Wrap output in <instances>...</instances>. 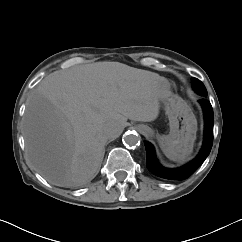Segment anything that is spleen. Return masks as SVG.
Here are the masks:
<instances>
[{"label": "spleen", "mask_w": 242, "mask_h": 242, "mask_svg": "<svg viewBox=\"0 0 242 242\" xmlns=\"http://www.w3.org/2000/svg\"><path fill=\"white\" fill-rule=\"evenodd\" d=\"M164 154L170 159V160H173V161H176V162H181V161H184L186 158L184 156H181L179 155L178 153L170 150V149H162Z\"/></svg>", "instance_id": "spleen-1"}]
</instances>
